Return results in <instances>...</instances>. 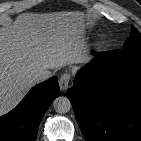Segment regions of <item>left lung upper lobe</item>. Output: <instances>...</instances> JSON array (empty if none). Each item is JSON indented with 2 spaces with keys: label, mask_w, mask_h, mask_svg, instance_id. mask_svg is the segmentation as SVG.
Here are the masks:
<instances>
[{
  "label": "left lung upper lobe",
  "mask_w": 141,
  "mask_h": 141,
  "mask_svg": "<svg viewBox=\"0 0 141 141\" xmlns=\"http://www.w3.org/2000/svg\"><path fill=\"white\" fill-rule=\"evenodd\" d=\"M129 47H141V34L133 27L130 38L124 44V48Z\"/></svg>",
  "instance_id": "obj_1"
}]
</instances>
